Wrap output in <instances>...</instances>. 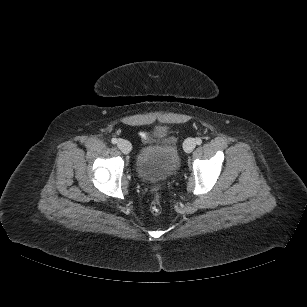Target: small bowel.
<instances>
[{
    "label": "small bowel",
    "instance_id": "c3829d8e",
    "mask_svg": "<svg viewBox=\"0 0 307 307\" xmlns=\"http://www.w3.org/2000/svg\"><path fill=\"white\" fill-rule=\"evenodd\" d=\"M141 136H142L143 139H145V140L147 139L146 133H141Z\"/></svg>",
    "mask_w": 307,
    "mask_h": 307
}]
</instances>
